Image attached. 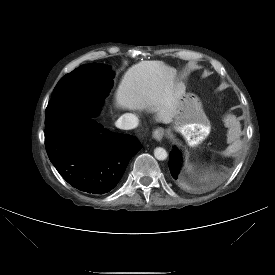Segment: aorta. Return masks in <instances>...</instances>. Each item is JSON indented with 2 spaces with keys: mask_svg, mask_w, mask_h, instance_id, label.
Here are the masks:
<instances>
[{
  "mask_svg": "<svg viewBox=\"0 0 275 275\" xmlns=\"http://www.w3.org/2000/svg\"><path fill=\"white\" fill-rule=\"evenodd\" d=\"M154 156L156 159L163 161L167 158V151L162 147H157L154 150Z\"/></svg>",
  "mask_w": 275,
  "mask_h": 275,
  "instance_id": "obj_1",
  "label": "aorta"
}]
</instances>
